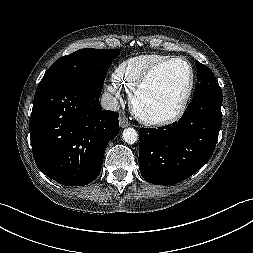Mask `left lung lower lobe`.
<instances>
[{"mask_svg": "<svg viewBox=\"0 0 253 253\" xmlns=\"http://www.w3.org/2000/svg\"><path fill=\"white\" fill-rule=\"evenodd\" d=\"M222 96L194 98L181 119L141 128L139 169L154 184L173 185L190 177L212 156L222 124Z\"/></svg>", "mask_w": 253, "mask_h": 253, "instance_id": "1", "label": "left lung lower lobe"}]
</instances>
